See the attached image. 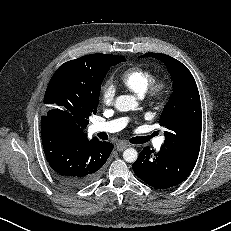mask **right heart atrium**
<instances>
[{
  "label": "right heart atrium",
  "instance_id": "obj_1",
  "mask_svg": "<svg viewBox=\"0 0 231 231\" xmlns=\"http://www.w3.org/2000/svg\"><path fill=\"white\" fill-rule=\"evenodd\" d=\"M115 97V88L112 83L104 82L100 87V100L103 104L109 105Z\"/></svg>",
  "mask_w": 231,
  "mask_h": 231
}]
</instances>
